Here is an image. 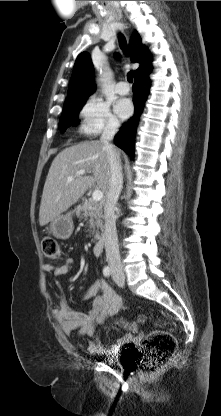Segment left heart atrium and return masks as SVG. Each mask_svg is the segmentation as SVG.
Segmentation results:
<instances>
[{
    "label": "left heart atrium",
    "instance_id": "obj_1",
    "mask_svg": "<svg viewBox=\"0 0 221 416\" xmlns=\"http://www.w3.org/2000/svg\"><path fill=\"white\" fill-rule=\"evenodd\" d=\"M116 113L121 118H128L133 112V106L129 100H121L115 107Z\"/></svg>",
    "mask_w": 221,
    "mask_h": 416
}]
</instances>
